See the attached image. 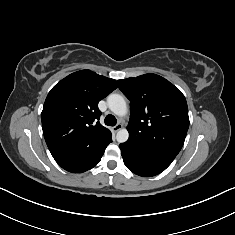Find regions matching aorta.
<instances>
[{
	"instance_id": "1",
	"label": "aorta",
	"mask_w": 235,
	"mask_h": 235,
	"mask_svg": "<svg viewBox=\"0 0 235 235\" xmlns=\"http://www.w3.org/2000/svg\"><path fill=\"white\" fill-rule=\"evenodd\" d=\"M109 109L117 116L124 117L127 114V104L124 97L120 94H110L107 97ZM129 133L126 128H122L117 132L116 139L119 143H124L128 140Z\"/></svg>"
}]
</instances>
